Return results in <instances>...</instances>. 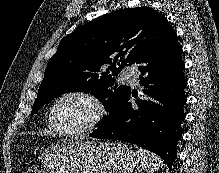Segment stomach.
<instances>
[{"label": "stomach", "instance_id": "stomach-1", "mask_svg": "<svg viewBox=\"0 0 219 173\" xmlns=\"http://www.w3.org/2000/svg\"><path fill=\"white\" fill-rule=\"evenodd\" d=\"M41 163L50 173H133L139 158L121 142H57L44 149Z\"/></svg>", "mask_w": 219, "mask_h": 173}]
</instances>
